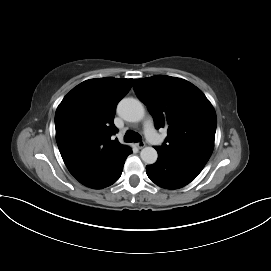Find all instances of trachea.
<instances>
[{"label":"trachea","mask_w":271,"mask_h":271,"mask_svg":"<svg viewBox=\"0 0 271 271\" xmlns=\"http://www.w3.org/2000/svg\"><path fill=\"white\" fill-rule=\"evenodd\" d=\"M124 140L125 142H139L141 140V136L140 134H138L137 132L134 131H127L125 136H124Z\"/></svg>","instance_id":"3493384b"}]
</instances>
